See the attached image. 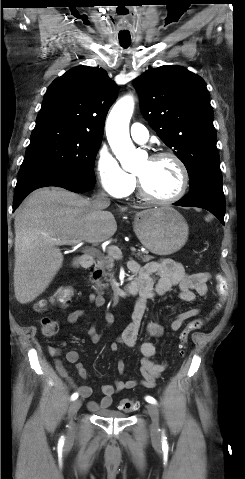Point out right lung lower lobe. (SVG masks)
Instances as JSON below:
<instances>
[{
  "instance_id": "obj_1",
  "label": "right lung lower lobe",
  "mask_w": 245,
  "mask_h": 479,
  "mask_svg": "<svg viewBox=\"0 0 245 479\" xmlns=\"http://www.w3.org/2000/svg\"><path fill=\"white\" fill-rule=\"evenodd\" d=\"M94 184L95 182L58 170H39L24 174L19 176L17 180L14 191L13 211L35 189L57 186L76 193H83L94 188Z\"/></svg>"
}]
</instances>
